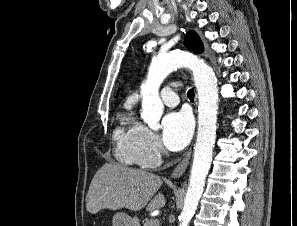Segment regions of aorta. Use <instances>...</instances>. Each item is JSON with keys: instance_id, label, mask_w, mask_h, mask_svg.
<instances>
[{"instance_id": "762f6f07", "label": "aorta", "mask_w": 297, "mask_h": 226, "mask_svg": "<svg viewBox=\"0 0 297 226\" xmlns=\"http://www.w3.org/2000/svg\"><path fill=\"white\" fill-rule=\"evenodd\" d=\"M180 67L192 70L199 99L194 159L179 224L188 226L204 190L216 139L218 87L213 69L197 56L183 51H173L155 58L149 67L147 80L141 86V118L151 129L160 128L159 121L164 107L159 97V88L163 80Z\"/></svg>"}]
</instances>
